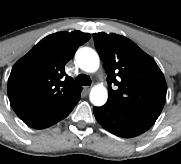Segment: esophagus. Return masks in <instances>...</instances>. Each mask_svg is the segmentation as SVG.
<instances>
[{"label":"esophagus","instance_id":"esophagus-1","mask_svg":"<svg viewBox=\"0 0 181 164\" xmlns=\"http://www.w3.org/2000/svg\"><path fill=\"white\" fill-rule=\"evenodd\" d=\"M83 88L88 93L90 91V89H91V86H84Z\"/></svg>","mask_w":181,"mask_h":164}]
</instances>
